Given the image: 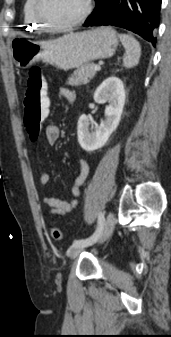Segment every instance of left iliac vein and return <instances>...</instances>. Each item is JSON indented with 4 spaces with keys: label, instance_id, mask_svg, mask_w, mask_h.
Returning <instances> with one entry per match:
<instances>
[{
    "label": "left iliac vein",
    "instance_id": "left-iliac-vein-1",
    "mask_svg": "<svg viewBox=\"0 0 171 337\" xmlns=\"http://www.w3.org/2000/svg\"><path fill=\"white\" fill-rule=\"evenodd\" d=\"M114 224H115V218H114L113 213L110 212L107 216L104 229H103L102 234H101L100 239H99V243H103L104 241H106L108 239V237L110 236V234L113 231ZM83 249H84V246L73 247L69 251V257L71 259L77 258L79 256V254L83 251Z\"/></svg>",
    "mask_w": 171,
    "mask_h": 337
}]
</instances>
